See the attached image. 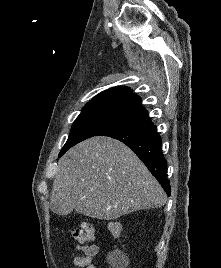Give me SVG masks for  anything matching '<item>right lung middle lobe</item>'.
Wrapping results in <instances>:
<instances>
[{
  "instance_id": "obj_1",
  "label": "right lung middle lobe",
  "mask_w": 221,
  "mask_h": 268,
  "mask_svg": "<svg viewBox=\"0 0 221 268\" xmlns=\"http://www.w3.org/2000/svg\"><path fill=\"white\" fill-rule=\"evenodd\" d=\"M125 122L123 117L105 111H82L73 123L71 133L59 157L77 143L98 135L103 131Z\"/></svg>"
}]
</instances>
